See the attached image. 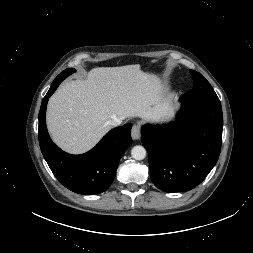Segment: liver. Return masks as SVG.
I'll list each match as a JSON object with an SVG mask.
<instances>
[{
    "label": "liver",
    "mask_w": 253,
    "mask_h": 253,
    "mask_svg": "<svg viewBox=\"0 0 253 253\" xmlns=\"http://www.w3.org/2000/svg\"><path fill=\"white\" fill-rule=\"evenodd\" d=\"M172 103L161 80L139 64L93 68L86 79L63 84L49 99L46 121L53 141L81 154L110 130L108 121L138 117L164 123Z\"/></svg>",
    "instance_id": "obj_1"
}]
</instances>
